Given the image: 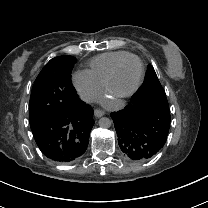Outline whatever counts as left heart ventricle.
Here are the masks:
<instances>
[{"label":"left heart ventricle","mask_w":208,"mask_h":208,"mask_svg":"<svg viewBox=\"0 0 208 208\" xmlns=\"http://www.w3.org/2000/svg\"><path fill=\"white\" fill-rule=\"evenodd\" d=\"M140 75V65L135 58H129L122 63L117 70L113 91L115 93H126L130 91L137 83Z\"/></svg>","instance_id":"1"}]
</instances>
